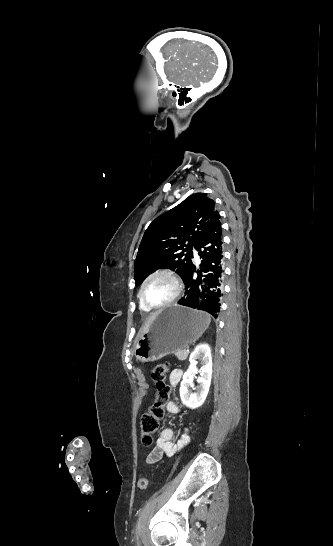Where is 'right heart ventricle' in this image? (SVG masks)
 Masks as SVG:
<instances>
[{"label":"right heart ventricle","mask_w":333,"mask_h":546,"mask_svg":"<svg viewBox=\"0 0 333 546\" xmlns=\"http://www.w3.org/2000/svg\"><path fill=\"white\" fill-rule=\"evenodd\" d=\"M139 306L141 308V310L145 311V312H149L151 309L146 307L142 302L141 300L139 299Z\"/></svg>","instance_id":"1"}]
</instances>
